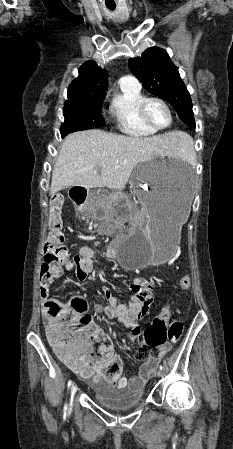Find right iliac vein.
Returning <instances> with one entry per match:
<instances>
[{
	"mask_svg": "<svg viewBox=\"0 0 233 449\" xmlns=\"http://www.w3.org/2000/svg\"><path fill=\"white\" fill-rule=\"evenodd\" d=\"M76 391H77V385L74 383L71 388L70 406L73 405L74 396H75Z\"/></svg>",
	"mask_w": 233,
	"mask_h": 449,
	"instance_id": "1",
	"label": "right iliac vein"
}]
</instances>
